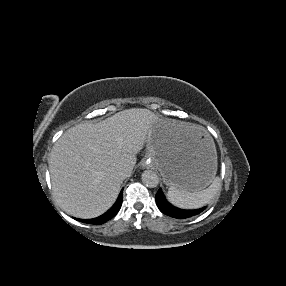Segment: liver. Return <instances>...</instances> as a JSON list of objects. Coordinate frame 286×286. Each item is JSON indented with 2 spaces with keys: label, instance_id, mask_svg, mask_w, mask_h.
<instances>
[{
  "label": "liver",
  "instance_id": "6515ba94",
  "mask_svg": "<svg viewBox=\"0 0 286 286\" xmlns=\"http://www.w3.org/2000/svg\"><path fill=\"white\" fill-rule=\"evenodd\" d=\"M165 121L173 140H192L205 130L198 125L163 120L142 108L120 111L97 123L78 124L57 140L49 157L52 191L59 207L78 218H94L116 201L122 178L118 165L132 173L137 154L157 122Z\"/></svg>",
  "mask_w": 286,
  "mask_h": 286
}]
</instances>
